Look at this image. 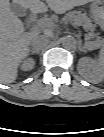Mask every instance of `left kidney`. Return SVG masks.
<instances>
[{
    "instance_id": "left-kidney-1",
    "label": "left kidney",
    "mask_w": 104,
    "mask_h": 137,
    "mask_svg": "<svg viewBox=\"0 0 104 137\" xmlns=\"http://www.w3.org/2000/svg\"><path fill=\"white\" fill-rule=\"evenodd\" d=\"M79 67L82 74L94 82L101 81L103 78L104 66L102 62H96L88 57L79 60Z\"/></svg>"
}]
</instances>
